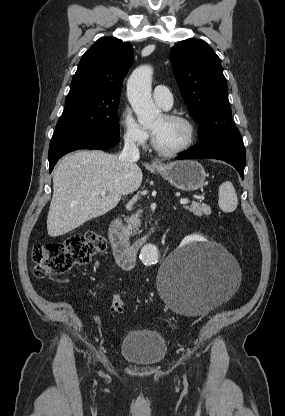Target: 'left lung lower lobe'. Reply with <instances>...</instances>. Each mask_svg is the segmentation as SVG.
<instances>
[{"instance_id":"1","label":"left lung lower lobe","mask_w":285,"mask_h":416,"mask_svg":"<svg viewBox=\"0 0 285 416\" xmlns=\"http://www.w3.org/2000/svg\"><path fill=\"white\" fill-rule=\"evenodd\" d=\"M213 158L223 160L236 168L241 178L244 177L245 148L238 130L209 136L177 159Z\"/></svg>"}]
</instances>
